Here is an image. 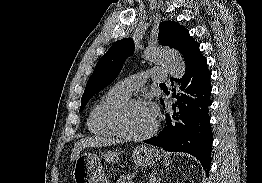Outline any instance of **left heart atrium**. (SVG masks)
<instances>
[{"instance_id":"obj_1","label":"left heart atrium","mask_w":262,"mask_h":183,"mask_svg":"<svg viewBox=\"0 0 262 183\" xmlns=\"http://www.w3.org/2000/svg\"><path fill=\"white\" fill-rule=\"evenodd\" d=\"M143 107H144L146 113L149 115V117L153 121H156V118H157V106H156V104L152 101H147L143 104Z\"/></svg>"}]
</instances>
